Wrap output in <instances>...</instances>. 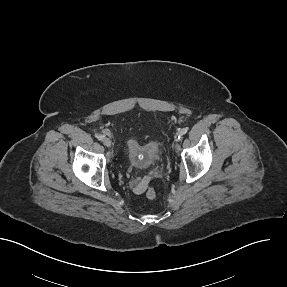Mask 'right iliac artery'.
Returning <instances> with one entry per match:
<instances>
[{"label": "right iliac artery", "instance_id": "1", "mask_svg": "<svg viewBox=\"0 0 287 287\" xmlns=\"http://www.w3.org/2000/svg\"><path fill=\"white\" fill-rule=\"evenodd\" d=\"M97 139L100 140V141H102V140L104 139V136L101 135V134H98V135H97Z\"/></svg>", "mask_w": 287, "mask_h": 287}]
</instances>
